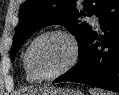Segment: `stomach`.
<instances>
[{
    "label": "stomach",
    "instance_id": "0dacf381",
    "mask_svg": "<svg viewBox=\"0 0 119 95\" xmlns=\"http://www.w3.org/2000/svg\"><path fill=\"white\" fill-rule=\"evenodd\" d=\"M25 95H83V93L75 89L47 87Z\"/></svg>",
    "mask_w": 119,
    "mask_h": 95
}]
</instances>
